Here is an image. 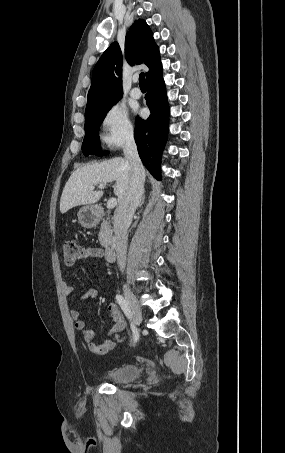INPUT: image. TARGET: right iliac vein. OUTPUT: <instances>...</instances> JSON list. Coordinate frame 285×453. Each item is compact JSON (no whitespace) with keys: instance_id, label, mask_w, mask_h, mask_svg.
Returning a JSON list of instances; mask_svg holds the SVG:
<instances>
[{"instance_id":"1","label":"right iliac vein","mask_w":285,"mask_h":453,"mask_svg":"<svg viewBox=\"0 0 285 453\" xmlns=\"http://www.w3.org/2000/svg\"><path fill=\"white\" fill-rule=\"evenodd\" d=\"M123 291H124V295H125V298L127 300V303H128V306H129V309L131 312L132 320H133L134 324L136 326H138L141 324L142 319H143L141 308L138 304V301H137L135 295L133 294V292L127 285L123 286Z\"/></svg>"}]
</instances>
